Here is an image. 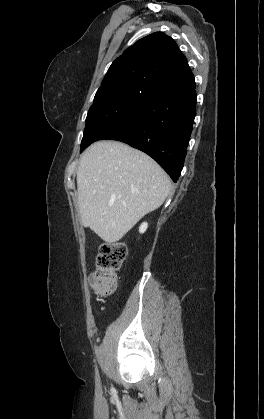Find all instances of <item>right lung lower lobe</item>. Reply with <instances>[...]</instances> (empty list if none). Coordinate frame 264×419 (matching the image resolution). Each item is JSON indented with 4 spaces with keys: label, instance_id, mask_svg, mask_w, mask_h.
Listing matches in <instances>:
<instances>
[{
    "label": "right lung lower lobe",
    "instance_id": "right-lung-lower-lobe-1",
    "mask_svg": "<svg viewBox=\"0 0 264 419\" xmlns=\"http://www.w3.org/2000/svg\"><path fill=\"white\" fill-rule=\"evenodd\" d=\"M196 113L195 85L154 95L101 140H118L152 157L176 182Z\"/></svg>",
    "mask_w": 264,
    "mask_h": 419
}]
</instances>
